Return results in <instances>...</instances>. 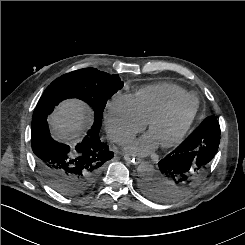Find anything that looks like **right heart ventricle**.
<instances>
[{"mask_svg": "<svg viewBox=\"0 0 245 245\" xmlns=\"http://www.w3.org/2000/svg\"><path fill=\"white\" fill-rule=\"evenodd\" d=\"M187 95L188 91L178 85L158 83L139 88L132 97L140 118L147 123L167 105Z\"/></svg>", "mask_w": 245, "mask_h": 245, "instance_id": "e07e8e85", "label": "right heart ventricle"}]
</instances>
